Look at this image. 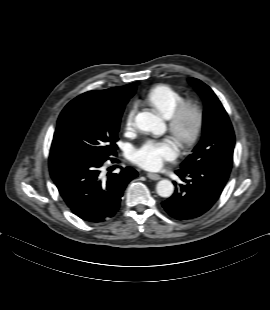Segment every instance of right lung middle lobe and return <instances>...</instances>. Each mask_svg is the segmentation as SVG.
Wrapping results in <instances>:
<instances>
[{
    "label": "right lung middle lobe",
    "mask_w": 270,
    "mask_h": 310,
    "mask_svg": "<svg viewBox=\"0 0 270 310\" xmlns=\"http://www.w3.org/2000/svg\"><path fill=\"white\" fill-rule=\"evenodd\" d=\"M122 113L93 93H84L61 112L50 155H77L106 161L118 148Z\"/></svg>",
    "instance_id": "dd1d6c3e"
}]
</instances>
